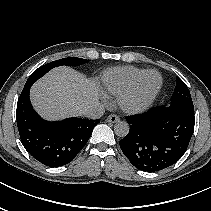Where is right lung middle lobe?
<instances>
[{
  "instance_id": "1",
  "label": "right lung middle lobe",
  "mask_w": 211,
  "mask_h": 211,
  "mask_svg": "<svg viewBox=\"0 0 211 211\" xmlns=\"http://www.w3.org/2000/svg\"><path fill=\"white\" fill-rule=\"evenodd\" d=\"M84 62H86L85 59L75 58V57L63 58V59H59V60L50 62V63L36 69L30 75L23 90L29 89L37 79L42 77L44 74H46L49 70H51L54 67L61 66V65L76 66V65H80Z\"/></svg>"
}]
</instances>
